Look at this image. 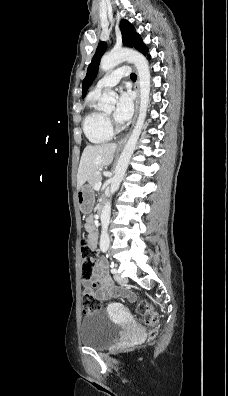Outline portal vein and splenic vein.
I'll list each match as a JSON object with an SVG mask.
<instances>
[{
	"label": "portal vein and splenic vein",
	"mask_w": 228,
	"mask_h": 396,
	"mask_svg": "<svg viewBox=\"0 0 228 396\" xmlns=\"http://www.w3.org/2000/svg\"><path fill=\"white\" fill-rule=\"evenodd\" d=\"M101 185H102L101 181L98 182V183H96L95 186H94V189H95V190H99L100 187H101Z\"/></svg>",
	"instance_id": "portal-vein-and-splenic-vein-1"
}]
</instances>
